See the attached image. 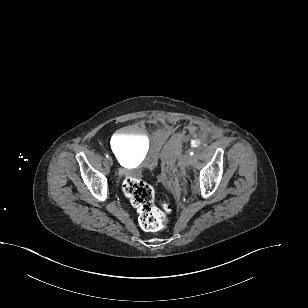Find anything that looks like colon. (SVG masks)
<instances>
[{
    "label": "colon",
    "instance_id": "1",
    "mask_svg": "<svg viewBox=\"0 0 308 308\" xmlns=\"http://www.w3.org/2000/svg\"><path fill=\"white\" fill-rule=\"evenodd\" d=\"M125 196L138 212V221L146 231L163 229L169 220L171 206L167 203L157 207L154 188L147 182L128 177L123 183Z\"/></svg>",
    "mask_w": 308,
    "mask_h": 308
}]
</instances>
